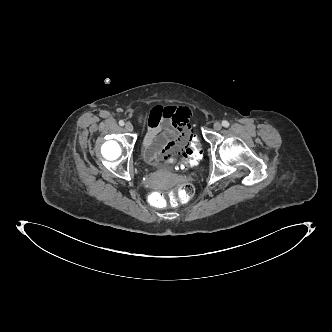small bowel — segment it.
I'll return each instance as SVG.
<instances>
[{
  "mask_svg": "<svg viewBox=\"0 0 332 332\" xmlns=\"http://www.w3.org/2000/svg\"><path fill=\"white\" fill-rule=\"evenodd\" d=\"M191 110L184 106L155 105L143 116L147 133L143 139L142 157L157 167L168 164L170 158L182 155L190 143Z\"/></svg>",
  "mask_w": 332,
  "mask_h": 332,
  "instance_id": "small-bowel-1",
  "label": "small bowel"
}]
</instances>
